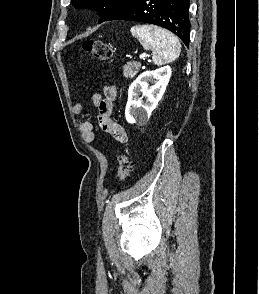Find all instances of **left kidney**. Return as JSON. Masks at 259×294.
I'll return each instance as SVG.
<instances>
[{"instance_id":"left-kidney-1","label":"left kidney","mask_w":259,"mask_h":294,"mask_svg":"<svg viewBox=\"0 0 259 294\" xmlns=\"http://www.w3.org/2000/svg\"><path fill=\"white\" fill-rule=\"evenodd\" d=\"M171 67L164 66L154 71H145L133 81L128 90L125 109L126 120L130 124L144 123L161 100L171 77ZM149 82L153 85L149 86ZM142 93V97H139ZM143 97L146 100L143 101Z\"/></svg>"}]
</instances>
